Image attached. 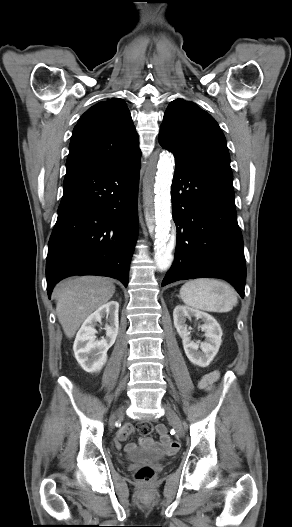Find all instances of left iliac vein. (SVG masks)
Returning a JSON list of instances; mask_svg holds the SVG:
<instances>
[{
    "instance_id": "4c4485c4",
    "label": "left iliac vein",
    "mask_w": 292,
    "mask_h": 527,
    "mask_svg": "<svg viewBox=\"0 0 292 527\" xmlns=\"http://www.w3.org/2000/svg\"><path fill=\"white\" fill-rule=\"evenodd\" d=\"M166 413V417L172 424L173 428L175 429L177 435L179 437H182L184 435V428L182 421L176 411L170 406V405H163Z\"/></svg>"
}]
</instances>
